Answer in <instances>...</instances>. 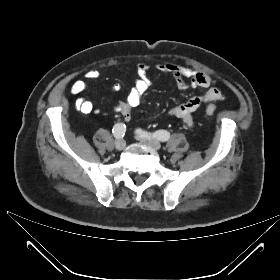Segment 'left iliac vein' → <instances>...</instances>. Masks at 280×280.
<instances>
[{"instance_id": "obj_1", "label": "left iliac vein", "mask_w": 280, "mask_h": 280, "mask_svg": "<svg viewBox=\"0 0 280 280\" xmlns=\"http://www.w3.org/2000/svg\"><path fill=\"white\" fill-rule=\"evenodd\" d=\"M138 139L147 144L148 146L152 147L155 150H159L161 148V143L159 142V140L155 139V138H151V137H147V136H139Z\"/></svg>"}]
</instances>
